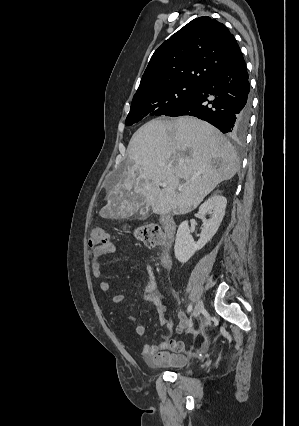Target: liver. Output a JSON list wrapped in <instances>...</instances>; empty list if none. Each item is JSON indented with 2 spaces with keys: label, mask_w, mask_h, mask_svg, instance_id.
<instances>
[{
  "label": "liver",
  "mask_w": 299,
  "mask_h": 426,
  "mask_svg": "<svg viewBox=\"0 0 299 426\" xmlns=\"http://www.w3.org/2000/svg\"><path fill=\"white\" fill-rule=\"evenodd\" d=\"M128 157L120 180L107 190L102 217L124 218L144 203L156 214H186L239 169L232 144L209 123L189 116L145 123L133 134ZM181 179L184 187L176 191ZM162 182L167 187L160 189Z\"/></svg>",
  "instance_id": "liver-1"
}]
</instances>
